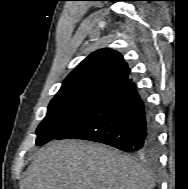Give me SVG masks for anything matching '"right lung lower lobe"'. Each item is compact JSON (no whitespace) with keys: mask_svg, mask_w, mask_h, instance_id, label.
Here are the masks:
<instances>
[{"mask_svg":"<svg viewBox=\"0 0 188 189\" xmlns=\"http://www.w3.org/2000/svg\"><path fill=\"white\" fill-rule=\"evenodd\" d=\"M55 139L90 140L146 154L156 148L157 128L150 107L129 83L103 97Z\"/></svg>","mask_w":188,"mask_h":189,"instance_id":"1","label":"right lung lower lobe"}]
</instances>
